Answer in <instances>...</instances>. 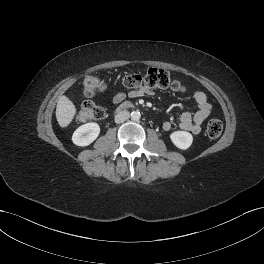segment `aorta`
<instances>
[{
	"mask_svg": "<svg viewBox=\"0 0 264 264\" xmlns=\"http://www.w3.org/2000/svg\"><path fill=\"white\" fill-rule=\"evenodd\" d=\"M140 118H141V114H140L139 111H133V112L131 113V119H132L133 121H138Z\"/></svg>",
	"mask_w": 264,
	"mask_h": 264,
	"instance_id": "aorta-1",
	"label": "aorta"
}]
</instances>
